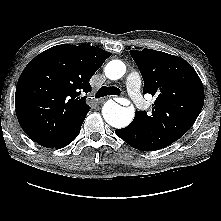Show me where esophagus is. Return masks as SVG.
Masks as SVG:
<instances>
[{"mask_svg": "<svg viewBox=\"0 0 221 221\" xmlns=\"http://www.w3.org/2000/svg\"><path fill=\"white\" fill-rule=\"evenodd\" d=\"M107 99H108V97L101 98V99H100V102H104V101H106Z\"/></svg>", "mask_w": 221, "mask_h": 221, "instance_id": "1", "label": "esophagus"}]
</instances>
